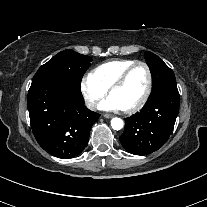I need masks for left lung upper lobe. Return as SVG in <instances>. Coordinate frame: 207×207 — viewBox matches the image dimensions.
<instances>
[{
    "label": "left lung upper lobe",
    "instance_id": "5c2ea615",
    "mask_svg": "<svg viewBox=\"0 0 207 207\" xmlns=\"http://www.w3.org/2000/svg\"><path fill=\"white\" fill-rule=\"evenodd\" d=\"M145 60L153 78L152 94L169 87H177L173 71L155 54L147 51Z\"/></svg>",
    "mask_w": 207,
    "mask_h": 207
}]
</instances>
